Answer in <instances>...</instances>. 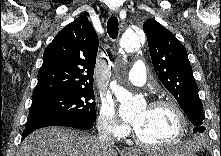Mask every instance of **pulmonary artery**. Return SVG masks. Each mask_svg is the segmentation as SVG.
<instances>
[{
	"mask_svg": "<svg viewBox=\"0 0 221 156\" xmlns=\"http://www.w3.org/2000/svg\"><path fill=\"white\" fill-rule=\"evenodd\" d=\"M127 80L136 86H143L146 83V68L142 61L135 62L127 75Z\"/></svg>",
	"mask_w": 221,
	"mask_h": 156,
	"instance_id": "obj_1",
	"label": "pulmonary artery"
}]
</instances>
